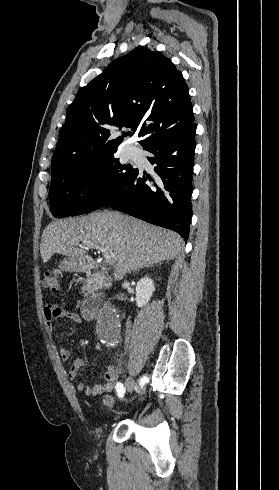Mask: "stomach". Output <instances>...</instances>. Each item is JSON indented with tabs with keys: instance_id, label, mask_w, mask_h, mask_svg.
<instances>
[{
	"instance_id": "1",
	"label": "stomach",
	"mask_w": 279,
	"mask_h": 490,
	"mask_svg": "<svg viewBox=\"0 0 279 490\" xmlns=\"http://www.w3.org/2000/svg\"><path fill=\"white\" fill-rule=\"evenodd\" d=\"M62 272H80V264L73 258H64L59 266Z\"/></svg>"
}]
</instances>
